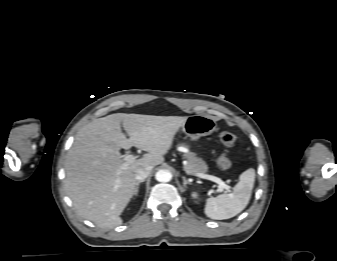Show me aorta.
<instances>
[{
    "label": "aorta",
    "instance_id": "1",
    "mask_svg": "<svg viewBox=\"0 0 337 261\" xmlns=\"http://www.w3.org/2000/svg\"><path fill=\"white\" fill-rule=\"evenodd\" d=\"M155 178L159 182H169L172 179V174L168 170H159L156 173Z\"/></svg>",
    "mask_w": 337,
    "mask_h": 261
}]
</instances>
